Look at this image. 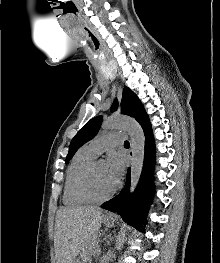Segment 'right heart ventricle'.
I'll list each match as a JSON object with an SVG mask.
<instances>
[{"mask_svg":"<svg viewBox=\"0 0 220 263\" xmlns=\"http://www.w3.org/2000/svg\"><path fill=\"white\" fill-rule=\"evenodd\" d=\"M85 147L81 148L72 158L66 172L63 192V203L67 206H80L91 201L80 191V179L87 166L94 160Z\"/></svg>","mask_w":220,"mask_h":263,"instance_id":"obj_1","label":"right heart ventricle"}]
</instances>
